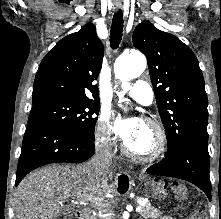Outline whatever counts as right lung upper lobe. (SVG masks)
Instances as JSON below:
<instances>
[{"mask_svg": "<svg viewBox=\"0 0 221 219\" xmlns=\"http://www.w3.org/2000/svg\"><path fill=\"white\" fill-rule=\"evenodd\" d=\"M103 44L92 23L61 39L43 58L34 81L32 102L63 98L99 101L98 78Z\"/></svg>", "mask_w": 221, "mask_h": 219, "instance_id": "obj_1", "label": "right lung upper lobe"}]
</instances>
